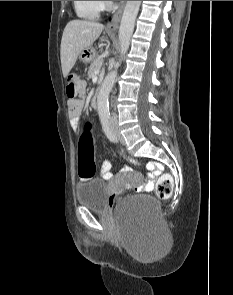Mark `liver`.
Masks as SVG:
<instances>
[{
	"instance_id": "obj_1",
	"label": "liver",
	"mask_w": 233,
	"mask_h": 295,
	"mask_svg": "<svg viewBox=\"0 0 233 295\" xmlns=\"http://www.w3.org/2000/svg\"><path fill=\"white\" fill-rule=\"evenodd\" d=\"M104 25L87 20H72L67 23L61 40V66L63 76L67 77L80 52L90 47L98 39Z\"/></svg>"
}]
</instances>
